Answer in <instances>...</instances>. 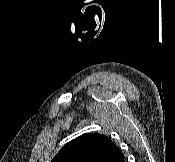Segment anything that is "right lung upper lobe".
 <instances>
[{
  "label": "right lung upper lobe",
  "mask_w": 175,
  "mask_h": 162,
  "mask_svg": "<svg viewBox=\"0 0 175 162\" xmlns=\"http://www.w3.org/2000/svg\"><path fill=\"white\" fill-rule=\"evenodd\" d=\"M123 158L107 136L86 133L64 145L51 162H121Z\"/></svg>",
  "instance_id": "cb5924a9"
}]
</instances>
